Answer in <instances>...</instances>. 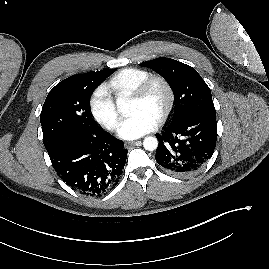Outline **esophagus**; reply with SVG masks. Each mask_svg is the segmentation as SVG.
Wrapping results in <instances>:
<instances>
[{
	"label": "esophagus",
	"instance_id": "34e87169",
	"mask_svg": "<svg viewBox=\"0 0 269 269\" xmlns=\"http://www.w3.org/2000/svg\"><path fill=\"white\" fill-rule=\"evenodd\" d=\"M141 141H127L124 143L125 148H129L133 145H136L137 143H140Z\"/></svg>",
	"mask_w": 269,
	"mask_h": 269
}]
</instances>
